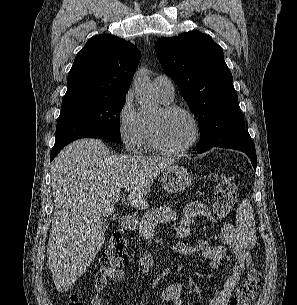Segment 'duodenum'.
<instances>
[{"label": "duodenum", "instance_id": "1", "mask_svg": "<svg viewBox=\"0 0 297 305\" xmlns=\"http://www.w3.org/2000/svg\"><path fill=\"white\" fill-rule=\"evenodd\" d=\"M119 225L122 230L128 232V231L133 230L136 227V221L132 215L127 214V215H123L119 219Z\"/></svg>", "mask_w": 297, "mask_h": 305}]
</instances>
